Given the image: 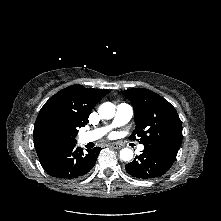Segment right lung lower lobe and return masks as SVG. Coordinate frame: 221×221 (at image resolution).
<instances>
[{
	"mask_svg": "<svg viewBox=\"0 0 221 221\" xmlns=\"http://www.w3.org/2000/svg\"><path fill=\"white\" fill-rule=\"evenodd\" d=\"M100 147L87 150L76 147V143L36 151L43 169L51 176L72 180L87 174L95 165Z\"/></svg>",
	"mask_w": 221,
	"mask_h": 221,
	"instance_id": "98d812e1",
	"label": "right lung lower lobe"
}]
</instances>
